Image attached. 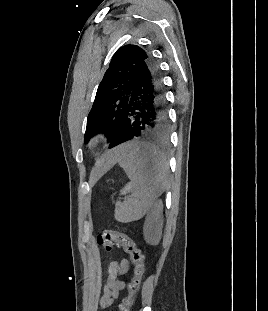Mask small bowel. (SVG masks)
<instances>
[{
	"instance_id": "c3829d8e",
	"label": "small bowel",
	"mask_w": 268,
	"mask_h": 311,
	"mask_svg": "<svg viewBox=\"0 0 268 311\" xmlns=\"http://www.w3.org/2000/svg\"><path fill=\"white\" fill-rule=\"evenodd\" d=\"M129 269V263L126 259L112 261L107 270V275L103 281V293L100 298V306L108 307L118 296L120 291L125 288V282L118 276L125 274Z\"/></svg>"
}]
</instances>
